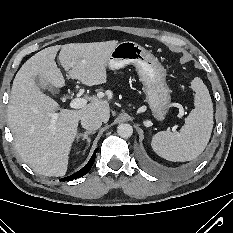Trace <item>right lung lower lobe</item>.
Instances as JSON below:
<instances>
[{
	"mask_svg": "<svg viewBox=\"0 0 233 233\" xmlns=\"http://www.w3.org/2000/svg\"><path fill=\"white\" fill-rule=\"evenodd\" d=\"M95 157H96V151H94L89 162L81 170L77 171L75 174H72L71 176L63 178V181L73 180V179H77V178L84 176L91 169L94 163Z\"/></svg>",
	"mask_w": 233,
	"mask_h": 233,
	"instance_id": "98d812e1",
	"label": "right lung lower lobe"
}]
</instances>
